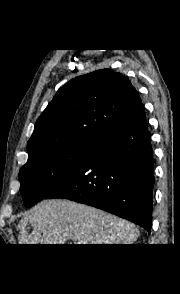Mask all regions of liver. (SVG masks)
Segmentation results:
<instances>
[{
	"label": "liver",
	"instance_id": "liver-1",
	"mask_svg": "<svg viewBox=\"0 0 180 294\" xmlns=\"http://www.w3.org/2000/svg\"><path fill=\"white\" fill-rule=\"evenodd\" d=\"M28 223L33 227L29 233ZM19 244H132L140 233L132 223L66 199L45 201L18 224Z\"/></svg>",
	"mask_w": 180,
	"mask_h": 294
}]
</instances>
